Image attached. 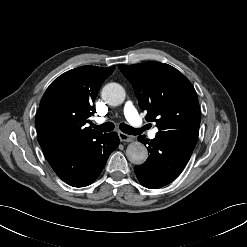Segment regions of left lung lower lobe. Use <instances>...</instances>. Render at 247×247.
Wrapping results in <instances>:
<instances>
[{
    "instance_id": "left-lung-lower-lobe-1",
    "label": "left lung lower lobe",
    "mask_w": 247,
    "mask_h": 247,
    "mask_svg": "<svg viewBox=\"0 0 247 247\" xmlns=\"http://www.w3.org/2000/svg\"><path fill=\"white\" fill-rule=\"evenodd\" d=\"M138 140L148 144L150 154L145 163L134 167L139 182L146 188L157 189L175 180L189 161L196 146L186 138H163L156 136L145 141L144 136Z\"/></svg>"
}]
</instances>
